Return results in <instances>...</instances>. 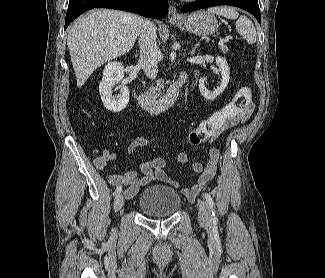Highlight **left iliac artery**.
Segmentation results:
<instances>
[{"mask_svg": "<svg viewBox=\"0 0 325 278\" xmlns=\"http://www.w3.org/2000/svg\"><path fill=\"white\" fill-rule=\"evenodd\" d=\"M205 198H206V201L208 202L211 210H212V220L213 221H217V218L215 216V213L213 212V208H214V201H213V198L212 196L209 194V193H205Z\"/></svg>", "mask_w": 325, "mask_h": 278, "instance_id": "obj_1", "label": "left iliac artery"}]
</instances>
